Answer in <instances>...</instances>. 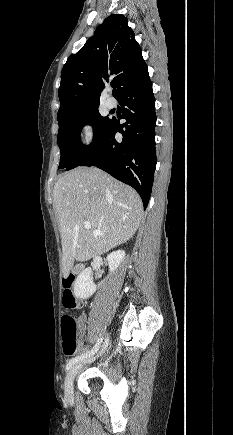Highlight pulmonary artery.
<instances>
[{"label":"pulmonary artery","mask_w":233,"mask_h":435,"mask_svg":"<svg viewBox=\"0 0 233 435\" xmlns=\"http://www.w3.org/2000/svg\"><path fill=\"white\" fill-rule=\"evenodd\" d=\"M115 105H116V101H115V99H114L112 96H108V97H107V100H106V106H107L109 109H112V108L115 107Z\"/></svg>","instance_id":"obj_1"}]
</instances>
